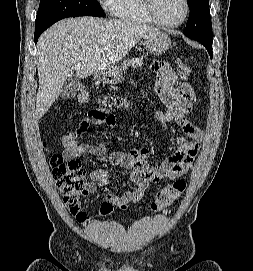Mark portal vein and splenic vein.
<instances>
[{
  "instance_id": "obj_1",
  "label": "portal vein and splenic vein",
  "mask_w": 253,
  "mask_h": 271,
  "mask_svg": "<svg viewBox=\"0 0 253 271\" xmlns=\"http://www.w3.org/2000/svg\"><path fill=\"white\" fill-rule=\"evenodd\" d=\"M102 52H103L102 49H98V50H97V53H98V54H100V53H102Z\"/></svg>"
}]
</instances>
